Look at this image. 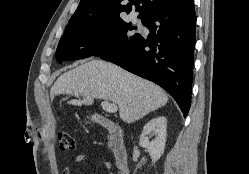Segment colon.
I'll return each instance as SVG.
<instances>
[{
	"mask_svg": "<svg viewBox=\"0 0 249 174\" xmlns=\"http://www.w3.org/2000/svg\"><path fill=\"white\" fill-rule=\"evenodd\" d=\"M58 139L62 150H73L75 148V141L68 131L61 130L58 133Z\"/></svg>",
	"mask_w": 249,
	"mask_h": 174,
	"instance_id": "colon-1",
	"label": "colon"
}]
</instances>
